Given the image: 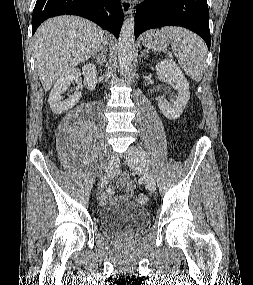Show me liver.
Instances as JSON below:
<instances>
[{"label": "liver", "mask_w": 253, "mask_h": 285, "mask_svg": "<svg viewBox=\"0 0 253 285\" xmlns=\"http://www.w3.org/2000/svg\"><path fill=\"white\" fill-rule=\"evenodd\" d=\"M110 35L95 23L76 16L45 21L34 36V56L39 79L48 91L55 81L95 53Z\"/></svg>", "instance_id": "obj_1"}]
</instances>
